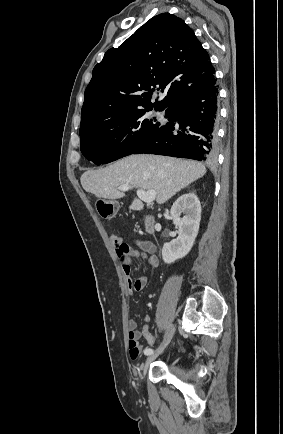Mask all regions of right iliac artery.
Here are the masks:
<instances>
[{"label": "right iliac artery", "mask_w": 283, "mask_h": 434, "mask_svg": "<svg viewBox=\"0 0 283 434\" xmlns=\"http://www.w3.org/2000/svg\"><path fill=\"white\" fill-rule=\"evenodd\" d=\"M154 353V351H153V349H151V348H146L145 350H144V354L145 355H151V354H153Z\"/></svg>", "instance_id": "obj_1"}]
</instances>
